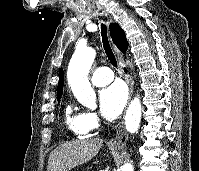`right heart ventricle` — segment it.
<instances>
[{"instance_id": "1", "label": "right heart ventricle", "mask_w": 199, "mask_h": 171, "mask_svg": "<svg viewBox=\"0 0 199 171\" xmlns=\"http://www.w3.org/2000/svg\"><path fill=\"white\" fill-rule=\"evenodd\" d=\"M65 122L73 135L83 137L87 134L83 126L82 114L74 112L70 104H67L65 107Z\"/></svg>"}]
</instances>
